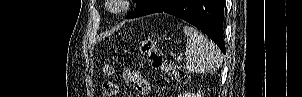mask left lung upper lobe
Listing matches in <instances>:
<instances>
[{"instance_id":"left-lung-upper-lobe-1","label":"left lung upper lobe","mask_w":302,"mask_h":97,"mask_svg":"<svg viewBox=\"0 0 302 97\" xmlns=\"http://www.w3.org/2000/svg\"><path fill=\"white\" fill-rule=\"evenodd\" d=\"M150 0H134V2L136 3V8H135V10L136 11H139V10H141V9H143L144 7H145V5H147L148 4V2H149ZM134 10V11H135Z\"/></svg>"}]
</instances>
